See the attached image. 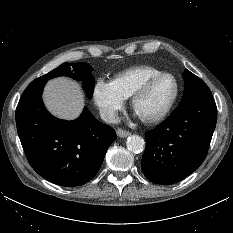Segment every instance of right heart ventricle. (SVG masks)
<instances>
[{
	"mask_svg": "<svg viewBox=\"0 0 233 233\" xmlns=\"http://www.w3.org/2000/svg\"><path fill=\"white\" fill-rule=\"evenodd\" d=\"M162 72L161 69L151 65L133 66L118 73L112 83L118 93L124 99H128L145 80Z\"/></svg>",
	"mask_w": 233,
	"mask_h": 233,
	"instance_id": "obj_1",
	"label": "right heart ventricle"
}]
</instances>
